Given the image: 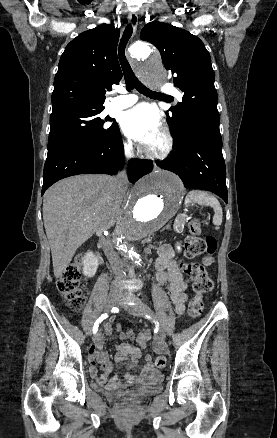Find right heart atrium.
<instances>
[{
	"label": "right heart atrium",
	"instance_id": "obj_1",
	"mask_svg": "<svg viewBox=\"0 0 277 438\" xmlns=\"http://www.w3.org/2000/svg\"><path fill=\"white\" fill-rule=\"evenodd\" d=\"M123 144L126 151H131L132 143L129 140H124Z\"/></svg>",
	"mask_w": 277,
	"mask_h": 438
}]
</instances>
